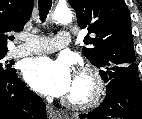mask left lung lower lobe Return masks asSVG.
<instances>
[{
    "mask_svg": "<svg viewBox=\"0 0 142 119\" xmlns=\"http://www.w3.org/2000/svg\"><path fill=\"white\" fill-rule=\"evenodd\" d=\"M81 119H142V83L132 72L108 82L103 103L93 112L81 114Z\"/></svg>",
    "mask_w": 142,
    "mask_h": 119,
    "instance_id": "0a47b994",
    "label": "left lung lower lobe"
}]
</instances>
